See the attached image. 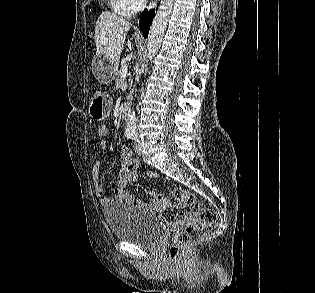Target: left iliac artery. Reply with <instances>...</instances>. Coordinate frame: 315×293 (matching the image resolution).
<instances>
[{"label":"left iliac artery","mask_w":315,"mask_h":293,"mask_svg":"<svg viewBox=\"0 0 315 293\" xmlns=\"http://www.w3.org/2000/svg\"><path fill=\"white\" fill-rule=\"evenodd\" d=\"M132 138H133V139H136V138H137V134L134 133Z\"/></svg>","instance_id":"left-iliac-artery-1"}]
</instances>
